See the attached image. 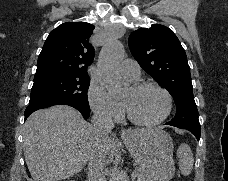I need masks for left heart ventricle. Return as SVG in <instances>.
I'll list each match as a JSON object with an SVG mask.
<instances>
[{
	"instance_id": "b2bd125f",
	"label": "left heart ventricle",
	"mask_w": 228,
	"mask_h": 181,
	"mask_svg": "<svg viewBox=\"0 0 228 181\" xmlns=\"http://www.w3.org/2000/svg\"><path fill=\"white\" fill-rule=\"evenodd\" d=\"M120 77L129 82L127 77ZM122 97L131 112L142 120H151L158 117L164 107V98L162 94L151 87L133 90L129 84Z\"/></svg>"
}]
</instances>
